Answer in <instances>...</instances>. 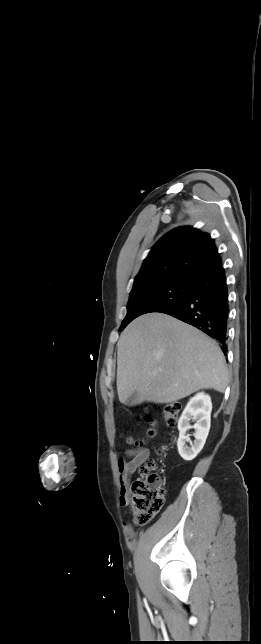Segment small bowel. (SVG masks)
<instances>
[{
	"label": "small bowel",
	"mask_w": 261,
	"mask_h": 644,
	"mask_svg": "<svg viewBox=\"0 0 261 644\" xmlns=\"http://www.w3.org/2000/svg\"><path fill=\"white\" fill-rule=\"evenodd\" d=\"M127 456L130 458V460L125 461L123 459H120L118 461L121 506H127L129 504L128 487L130 478L149 458L150 451L148 449L129 450L127 451ZM125 530L130 538L134 537L135 531L130 524H125Z\"/></svg>",
	"instance_id": "1"
}]
</instances>
